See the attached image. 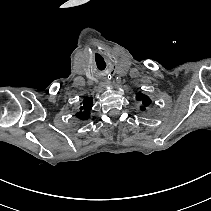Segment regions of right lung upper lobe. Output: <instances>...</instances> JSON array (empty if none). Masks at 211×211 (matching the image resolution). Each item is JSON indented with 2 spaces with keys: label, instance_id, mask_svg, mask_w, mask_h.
Segmentation results:
<instances>
[{
  "label": "right lung upper lobe",
  "instance_id": "cb5924a9",
  "mask_svg": "<svg viewBox=\"0 0 211 211\" xmlns=\"http://www.w3.org/2000/svg\"><path fill=\"white\" fill-rule=\"evenodd\" d=\"M92 106V99L85 98L83 100L82 106L80 107V111L76 114V116L81 120H86L90 116V109Z\"/></svg>",
  "mask_w": 211,
  "mask_h": 211
}]
</instances>
